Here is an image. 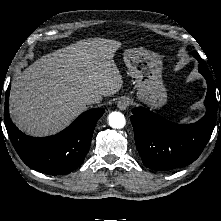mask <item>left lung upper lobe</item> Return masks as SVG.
I'll use <instances>...</instances> for the list:
<instances>
[{"mask_svg":"<svg viewBox=\"0 0 221 221\" xmlns=\"http://www.w3.org/2000/svg\"><path fill=\"white\" fill-rule=\"evenodd\" d=\"M192 55H193L195 58L199 56L196 51L192 52Z\"/></svg>","mask_w":221,"mask_h":221,"instance_id":"obj_1","label":"left lung upper lobe"}]
</instances>
